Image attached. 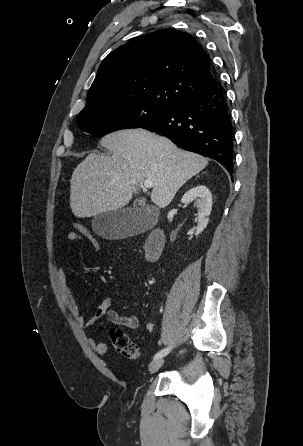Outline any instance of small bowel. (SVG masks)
Instances as JSON below:
<instances>
[{
    "label": "small bowel",
    "instance_id": "1",
    "mask_svg": "<svg viewBox=\"0 0 303 446\" xmlns=\"http://www.w3.org/2000/svg\"><path fill=\"white\" fill-rule=\"evenodd\" d=\"M67 240L70 242L80 241L84 243L90 250H94L92 240L85 238L83 236L78 235L75 232H71L67 235ZM57 277L59 281V285L61 288V292L65 301V304L75 320V322L80 327H87L99 321L102 317H106L110 322L126 327L131 330H135L139 326V320L136 316L133 315H120L116 310L112 308L113 303L115 302L114 297H106L100 305L97 307L94 315L88 320L85 321L83 314L81 313L80 307L78 305L77 299L72 291L69 280L63 268L60 266L57 269ZM148 331H153L155 328L154 322H148L146 325ZM88 342L92 349L96 351L98 354H105L107 352V345L104 342L96 341L93 338H88Z\"/></svg>",
    "mask_w": 303,
    "mask_h": 446
}]
</instances>
